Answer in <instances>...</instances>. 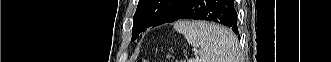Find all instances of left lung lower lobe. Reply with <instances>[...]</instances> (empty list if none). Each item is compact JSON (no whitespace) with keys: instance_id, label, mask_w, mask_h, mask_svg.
I'll use <instances>...</instances> for the list:
<instances>
[{"instance_id":"left-lung-lower-lobe-1","label":"left lung lower lobe","mask_w":331,"mask_h":62,"mask_svg":"<svg viewBox=\"0 0 331 62\" xmlns=\"http://www.w3.org/2000/svg\"><path fill=\"white\" fill-rule=\"evenodd\" d=\"M184 18L220 23L239 35L234 0H184L165 23ZM148 27H150L149 24L139 25L132 40H135L139 33Z\"/></svg>"}]
</instances>
